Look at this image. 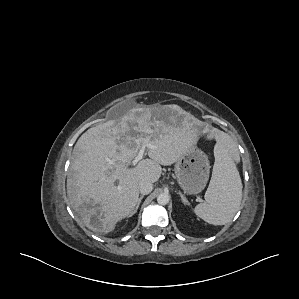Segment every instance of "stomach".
Wrapping results in <instances>:
<instances>
[{
	"instance_id": "0dacf381",
	"label": "stomach",
	"mask_w": 299,
	"mask_h": 299,
	"mask_svg": "<svg viewBox=\"0 0 299 299\" xmlns=\"http://www.w3.org/2000/svg\"><path fill=\"white\" fill-rule=\"evenodd\" d=\"M174 170L183 191L187 194H198L209 179L210 163L205 153L191 146L177 160Z\"/></svg>"
}]
</instances>
